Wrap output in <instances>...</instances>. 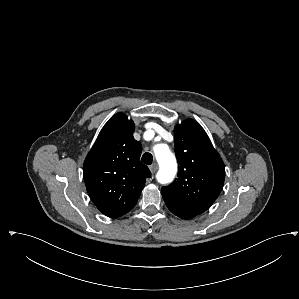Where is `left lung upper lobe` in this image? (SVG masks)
I'll use <instances>...</instances> for the list:
<instances>
[{
  "mask_svg": "<svg viewBox=\"0 0 299 299\" xmlns=\"http://www.w3.org/2000/svg\"><path fill=\"white\" fill-rule=\"evenodd\" d=\"M174 146L179 163L178 178L161 193L178 206L201 214L220 194L225 166L204 129L187 119L174 130Z\"/></svg>",
  "mask_w": 299,
  "mask_h": 299,
  "instance_id": "1",
  "label": "left lung upper lobe"
}]
</instances>
